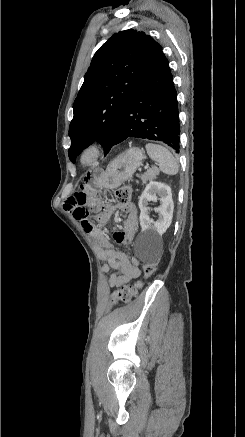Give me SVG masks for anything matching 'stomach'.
Returning <instances> with one entry per match:
<instances>
[{"label": "stomach", "mask_w": 245, "mask_h": 437, "mask_svg": "<svg viewBox=\"0 0 245 437\" xmlns=\"http://www.w3.org/2000/svg\"><path fill=\"white\" fill-rule=\"evenodd\" d=\"M144 158V151L132 147L117 156L108 166L105 172L94 170L86 175L85 183L95 190L115 189L129 180Z\"/></svg>", "instance_id": "1"}]
</instances>
